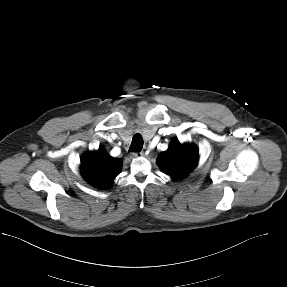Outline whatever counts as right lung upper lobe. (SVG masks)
I'll use <instances>...</instances> for the list:
<instances>
[{"label":"right lung upper lobe","instance_id":"cb5924a9","mask_svg":"<svg viewBox=\"0 0 287 287\" xmlns=\"http://www.w3.org/2000/svg\"><path fill=\"white\" fill-rule=\"evenodd\" d=\"M122 160L111 157L102 147L88 152L81 158L82 176L98 188H108L121 172Z\"/></svg>","mask_w":287,"mask_h":287}]
</instances>
